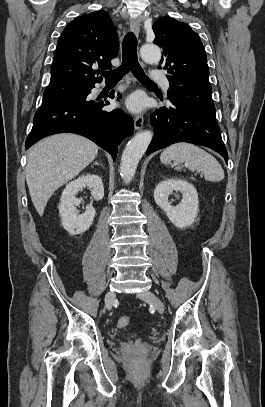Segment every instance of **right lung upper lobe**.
<instances>
[{
	"label": "right lung upper lobe",
	"mask_w": 265,
	"mask_h": 407,
	"mask_svg": "<svg viewBox=\"0 0 265 407\" xmlns=\"http://www.w3.org/2000/svg\"><path fill=\"white\" fill-rule=\"evenodd\" d=\"M109 14L95 11L77 17L61 34L51 68L53 83L90 84L101 81L92 67L110 69L119 40Z\"/></svg>",
	"instance_id": "obj_1"
}]
</instances>
